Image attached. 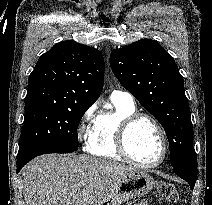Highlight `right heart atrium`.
<instances>
[{
  "label": "right heart atrium",
  "mask_w": 212,
  "mask_h": 205,
  "mask_svg": "<svg viewBox=\"0 0 212 205\" xmlns=\"http://www.w3.org/2000/svg\"><path fill=\"white\" fill-rule=\"evenodd\" d=\"M95 106H90L83 113L77 128V137L81 142H87L95 124Z\"/></svg>",
  "instance_id": "right-heart-atrium-1"
}]
</instances>
